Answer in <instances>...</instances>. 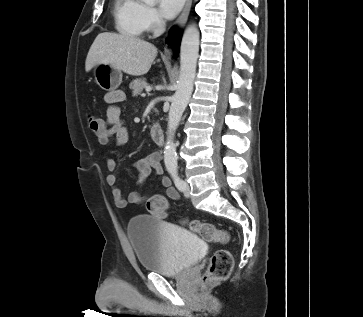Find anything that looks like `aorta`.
<instances>
[{
	"mask_svg": "<svg viewBox=\"0 0 363 317\" xmlns=\"http://www.w3.org/2000/svg\"><path fill=\"white\" fill-rule=\"evenodd\" d=\"M142 1L147 4H153L155 2V0ZM199 39L200 34L196 25H189L181 41L179 78L168 115L167 140L164 147V162L168 171L177 169V153L174 136L193 92L197 59L199 56Z\"/></svg>",
	"mask_w": 363,
	"mask_h": 317,
	"instance_id": "obj_1",
	"label": "aorta"
}]
</instances>
